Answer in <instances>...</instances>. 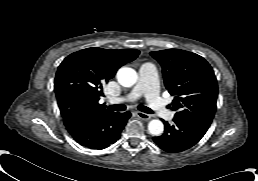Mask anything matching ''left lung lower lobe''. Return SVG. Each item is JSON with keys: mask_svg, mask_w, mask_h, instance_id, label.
<instances>
[{"mask_svg": "<svg viewBox=\"0 0 258 181\" xmlns=\"http://www.w3.org/2000/svg\"><path fill=\"white\" fill-rule=\"evenodd\" d=\"M174 124L164 122V133L154 137L162 150L170 153L182 152L195 145L204 136L210 124L188 118L174 117Z\"/></svg>", "mask_w": 258, "mask_h": 181, "instance_id": "obj_1", "label": "left lung lower lobe"}]
</instances>
